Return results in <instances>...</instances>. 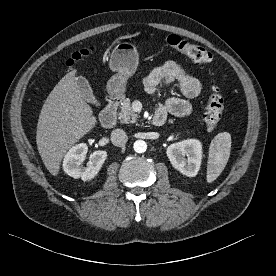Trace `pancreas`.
Masks as SVG:
<instances>
[{
	"label": "pancreas",
	"instance_id": "obj_1",
	"mask_svg": "<svg viewBox=\"0 0 276 276\" xmlns=\"http://www.w3.org/2000/svg\"><path fill=\"white\" fill-rule=\"evenodd\" d=\"M118 118L123 124L136 123L138 121V114L133 111L130 99L126 98L122 101Z\"/></svg>",
	"mask_w": 276,
	"mask_h": 276
}]
</instances>
